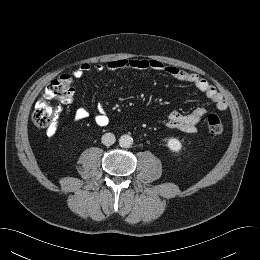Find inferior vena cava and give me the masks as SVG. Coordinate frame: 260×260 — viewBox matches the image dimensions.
<instances>
[{
  "label": "inferior vena cava",
  "mask_w": 260,
  "mask_h": 260,
  "mask_svg": "<svg viewBox=\"0 0 260 260\" xmlns=\"http://www.w3.org/2000/svg\"><path fill=\"white\" fill-rule=\"evenodd\" d=\"M101 139L102 143L106 146H110L115 143V136L113 133H105Z\"/></svg>",
  "instance_id": "602c4592"
}]
</instances>
